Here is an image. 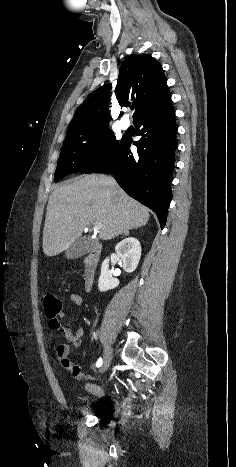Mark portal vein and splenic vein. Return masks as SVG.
<instances>
[{"label": "portal vein and splenic vein", "mask_w": 236, "mask_h": 467, "mask_svg": "<svg viewBox=\"0 0 236 467\" xmlns=\"http://www.w3.org/2000/svg\"><path fill=\"white\" fill-rule=\"evenodd\" d=\"M102 228V224L101 223H97L94 225V229L95 230H100Z\"/></svg>", "instance_id": "18ae733b"}]
</instances>
